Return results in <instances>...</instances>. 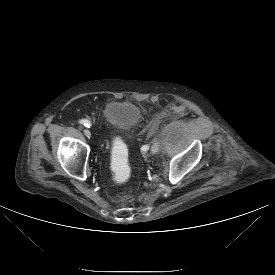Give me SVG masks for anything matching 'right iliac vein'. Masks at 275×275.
<instances>
[{
	"mask_svg": "<svg viewBox=\"0 0 275 275\" xmlns=\"http://www.w3.org/2000/svg\"><path fill=\"white\" fill-rule=\"evenodd\" d=\"M84 134L86 137L90 138L91 137V132L88 129L84 130Z\"/></svg>",
	"mask_w": 275,
	"mask_h": 275,
	"instance_id": "right-iliac-vein-1",
	"label": "right iliac vein"
}]
</instances>
